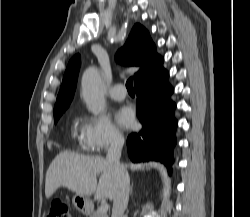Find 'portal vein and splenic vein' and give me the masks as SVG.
<instances>
[{"label": "portal vein and splenic vein", "instance_id": "1", "mask_svg": "<svg viewBox=\"0 0 250 217\" xmlns=\"http://www.w3.org/2000/svg\"><path fill=\"white\" fill-rule=\"evenodd\" d=\"M109 205L107 203L101 204L99 210L100 212L106 213L108 211Z\"/></svg>", "mask_w": 250, "mask_h": 217}]
</instances>
